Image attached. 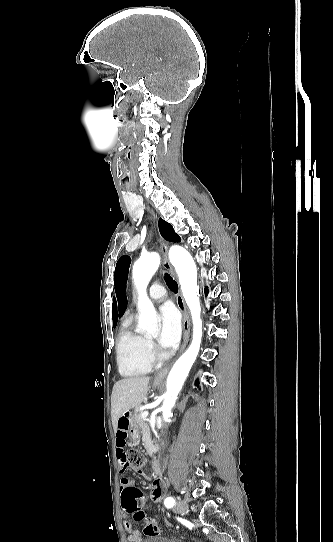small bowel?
I'll list each match as a JSON object with an SVG mask.
<instances>
[{
  "label": "small bowel",
  "instance_id": "small-bowel-1",
  "mask_svg": "<svg viewBox=\"0 0 333 542\" xmlns=\"http://www.w3.org/2000/svg\"><path fill=\"white\" fill-rule=\"evenodd\" d=\"M124 413H127V410H124ZM129 432V418L127 416H122L119 418L116 427V449H117V458L119 463L120 472H124L127 468V455L125 448L127 445V437ZM132 485L129 479L125 476H122L120 479V491L121 499L123 497H131ZM166 484L163 478L158 477L157 475L151 481V490H150V499L152 502H160L165 495ZM126 510V509H125ZM124 519L127 517L125 514L122 516ZM152 524H156L152 521ZM124 529L129 533L128 542H143L142 535L140 531L134 529L132 523L128 520L123 522ZM157 527V526H156ZM158 535L160 531L158 529ZM157 535V536H158Z\"/></svg>",
  "mask_w": 333,
  "mask_h": 542
}]
</instances>
